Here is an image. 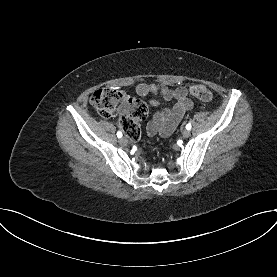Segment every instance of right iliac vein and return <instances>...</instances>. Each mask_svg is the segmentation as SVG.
I'll return each mask as SVG.
<instances>
[{"instance_id":"63e3f726","label":"right iliac vein","mask_w":277,"mask_h":277,"mask_svg":"<svg viewBox=\"0 0 277 277\" xmlns=\"http://www.w3.org/2000/svg\"><path fill=\"white\" fill-rule=\"evenodd\" d=\"M119 144L122 146H126L128 144V139L126 137H122L119 139Z\"/></svg>"}]
</instances>
